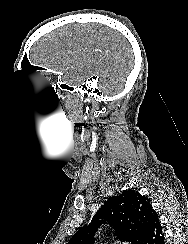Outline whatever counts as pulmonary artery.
<instances>
[{
  "instance_id": "pulmonary-artery-1",
  "label": "pulmonary artery",
  "mask_w": 188,
  "mask_h": 244,
  "mask_svg": "<svg viewBox=\"0 0 188 244\" xmlns=\"http://www.w3.org/2000/svg\"><path fill=\"white\" fill-rule=\"evenodd\" d=\"M119 244H129L128 242H123V243H119Z\"/></svg>"
}]
</instances>
